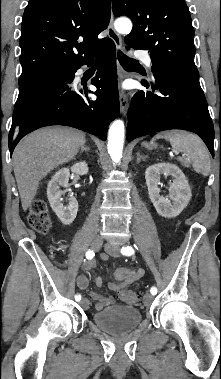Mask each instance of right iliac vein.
<instances>
[{"mask_svg":"<svg viewBox=\"0 0 221 379\" xmlns=\"http://www.w3.org/2000/svg\"><path fill=\"white\" fill-rule=\"evenodd\" d=\"M102 244H103V240H102V238H100V237H95V238L93 239V241H92V248H93L95 251H98V250L101 248ZM80 304H81L82 307L87 308L89 302H88L87 299L83 298V299L81 300Z\"/></svg>","mask_w":221,"mask_h":379,"instance_id":"1","label":"right iliac vein"}]
</instances>
